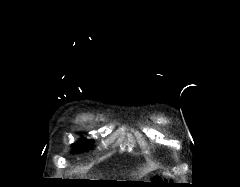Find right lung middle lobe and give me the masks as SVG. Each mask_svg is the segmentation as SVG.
Returning a JSON list of instances; mask_svg holds the SVG:
<instances>
[{"label": "right lung middle lobe", "mask_w": 240, "mask_h": 187, "mask_svg": "<svg viewBox=\"0 0 240 187\" xmlns=\"http://www.w3.org/2000/svg\"><path fill=\"white\" fill-rule=\"evenodd\" d=\"M89 148H90L89 141L81 140L77 142L75 150L86 151Z\"/></svg>", "instance_id": "dd1d6c3e"}]
</instances>
